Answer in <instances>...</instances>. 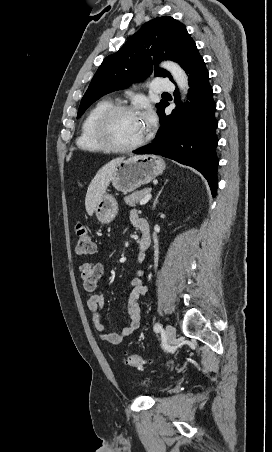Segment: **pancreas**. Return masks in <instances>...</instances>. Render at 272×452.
<instances>
[{
	"label": "pancreas",
	"mask_w": 272,
	"mask_h": 452,
	"mask_svg": "<svg viewBox=\"0 0 272 452\" xmlns=\"http://www.w3.org/2000/svg\"><path fill=\"white\" fill-rule=\"evenodd\" d=\"M151 192V188H145L141 191L133 192L132 194L126 196L124 201L127 205L134 207L139 203L147 194Z\"/></svg>",
	"instance_id": "obj_1"
}]
</instances>
